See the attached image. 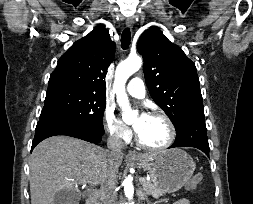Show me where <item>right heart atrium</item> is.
Masks as SVG:
<instances>
[{"instance_id":"1","label":"right heart atrium","mask_w":253,"mask_h":204,"mask_svg":"<svg viewBox=\"0 0 253 204\" xmlns=\"http://www.w3.org/2000/svg\"><path fill=\"white\" fill-rule=\"evenodd\" d=\"M104 127L108 135L119 142H126L131 138L130 129L115 115L112 109H106Z\"/></svg>"}]
</instances>
